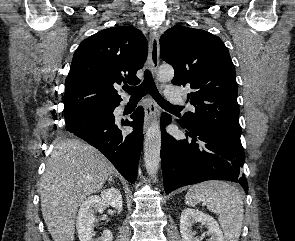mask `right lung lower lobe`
Here are the masks:
<instances>
[{
  "mask_svg": "<svg viewBox=\"0 0 295 241\" xmlns=\"http://www.w3.org/2000/svg\"><path fill=\"white\" fill-rule=\"evenodd\" d=\"M118 105L99 112L81 114L66 121V130L97 148L125 179L134 183L143 143L144 110L138 107L131 115L133 121H128L113 115ZM121 126H132L134 130L126 135L120 130Z\"/></svg>",
  "mask_w": 295,
  "mask_h": 241,
  "instance_id": "right-lung-lower-lobe-1",
  "label": "right lung lower lobe"
}]
</instances>
